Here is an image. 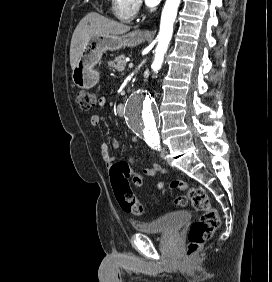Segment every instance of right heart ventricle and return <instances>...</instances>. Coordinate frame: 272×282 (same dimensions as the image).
<instances>
[{"label":"right heart ventricle","instance_id":"obj_1","mask_svg":"<svg viewBox=\"0 0 272 282\" xmlns=\"http://www.w3.org/2000/svg\"><path fill=\"white\" fill-rule=\"evenodd\" d=\"M131 0H112L114 5L113 12L119 19L129 21L133 18V12L130 8Z\"/></svg>","mask_w":272,"mask_h":282}]
</instances>
